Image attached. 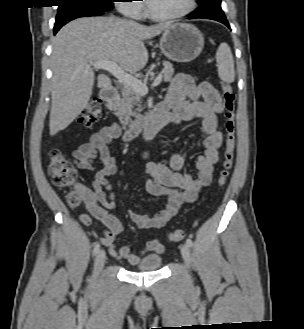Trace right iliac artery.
I'll return each mask as SVG.
<instances>
[{
  "mask_svg": "<svg viewBox=\"0 0 304 329\" xmlns=\"http://www.w3.org/2000/svg\"><path fill=\"white\" fill-rule=\"evenodd\" d=\"M100 251V244L96 243L93 249V255L95 256Z\"/></svg>",
  "mask_w": 304,
  "mask_h": 329,
  "instance_id": "1",
  "label": "right iliac artery"
}]
</instances>
